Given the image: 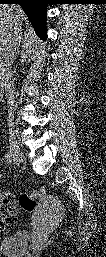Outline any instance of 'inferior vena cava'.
I'll list each match as a JSON object with an SVG mask.
<instances>
[{
	"instance_id": "1",
	"label": "inferior vena cava",
	"mask_w": 106,
	"mask_h": 257,
	"mask_svg": "<svg viewBox=\"0 0 106 257\" xmlns=\"http://www.w3.org/2000/svg\"><path fill=\"white\" fill-rule=\"evenodd\" d=\"M21 41V27L14 22L10 26L9 32L0 48V77L5 88L7 105L10 106L8 124H12V106L14 103V87L12 79V65L15 58L16 49Z\"/></svg>"
}]
</instances>
